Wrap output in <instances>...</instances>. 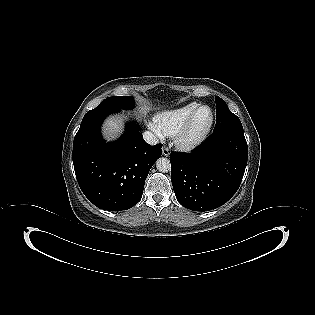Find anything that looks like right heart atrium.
I'll return each instance as SVG.
<instances>
[{
	"mask_svg": "<svg viewBox=\"0 0 315 315\" xmlns=\"http://www.w3.org/2000/svg\"><path fill=\"white\" fill-rule=\"evenodd\" d=\"M149 127L150 129L159 137H163V133L161 132V130L158 128V126L156 125V123H149Z\"/></svg>",
	"mask_w": 315,
	"mask_h": 315,
	"instance_id": "d8ad5b80",
	"label": "right heart atrium"
}]
</instances>
